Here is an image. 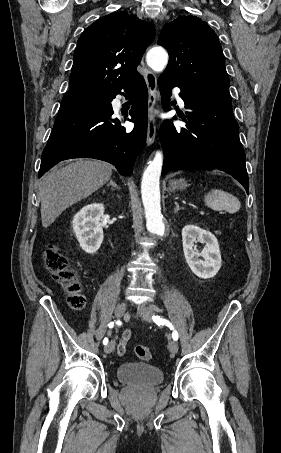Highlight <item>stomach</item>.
Instances as JSON below:
<instances>
[{"instance_id": "stomach-1", "label": "stomach", "mask_w": 281, "mask_h": 453, "mask_svg": "<svg viewBox=\"0 0 281 453\" xmlns=\"http://www.w3.org/2000/svg\"><path fill=\"white\" fill-rule=\"evenodd\" d=\"M188 186L185 180H170L169 182V190H184Z\"/></svg>"}]
</instances>
